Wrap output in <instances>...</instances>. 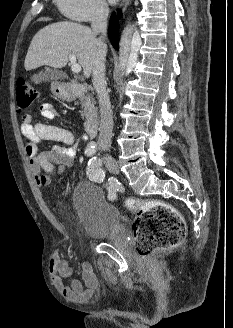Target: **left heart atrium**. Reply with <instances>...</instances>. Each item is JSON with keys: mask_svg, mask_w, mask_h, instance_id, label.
<instances>
[{"mask_svg": "<svg viewBox=\"0 0 233 328\" xmlns=\"http://www.w3.org/2000/svg\"><path fill=\"white\" fill-rule=\"evenodd\" d=\"M119 0H109L110 3L114 4L116 2H118Z\"/></svg>", "mask_w": 233, "mask_h": 328, "instance_id": "1", "label": "left heart atrium"}]
</instances>
